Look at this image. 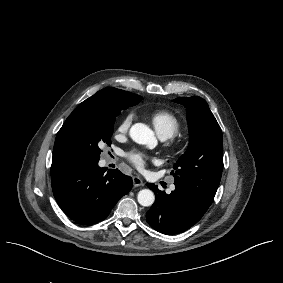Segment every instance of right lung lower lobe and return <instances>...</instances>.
<instances>
[{
	"label": "right lung lower lobe",
	"instance_id": "1",
	"mask_svg": "<svg viewBox=\"0 0 283 283\" xmlns=\"http://www.w3.org/2000/svg\"><path fill=\"white\" fill-rule=\"evenodd\" d=\"M98 161L78 164L51 174L54 197L64 213L80 224L107 218L118 200L132 188V178L118 169L108 171Z\"/></svg>",
	"mask_w": 283,
	"mask_h": 283
}]
</instances>
